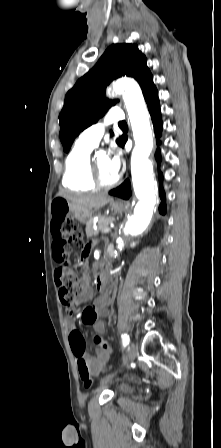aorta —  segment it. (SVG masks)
Masks as SVG:
<instances>
[{"mask_svg": "<svg viewBox=\"0 0 221 448\" xmlns=\"http://www.w3.org/2000/svg\"><path fill=\"white\" fill-rule=\"evenodd\" d=\"M122 94L129 115L135 147L131 155L133 188L138 202L129 217L124 235H135L146 229L156 204L153 165L148 159L153 148V134L147 107L139 85L131 79H120L113 84L107 94ZM123 241L118 239L115 259L123 249Z\"/></svg>", "mask_w": 221, "mask_h": 448, "instance_id": "aorta-1", "label": "aorta"}]
</instances>
